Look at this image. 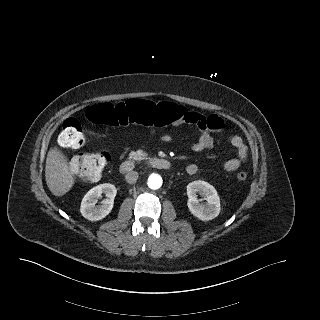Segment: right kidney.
<instances>
[{
  "label": "right kidney",
  "instance_id": "1",
  "mask_svg": "<svg viewBox=\"0 0 320 320\" xmlns=\"http://www.w3.org/2000/svg\"><path fill=\"white\" fill-rule=\"evenodd\" d=\"M103 193L106 198L101 202V205H97V200ZM116 193L115 186L110 183L101 184L90 189L81 202L80 212L82 216L90 221H98L105 218L113 208Z\"/></svg>",
  "mask_w": 320,
  "mask_h": 320
}]
</instances>
